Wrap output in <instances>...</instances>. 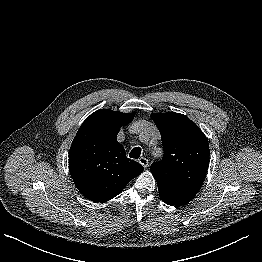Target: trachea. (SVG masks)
I'll use <instances>...</instances> for the list:
<instances>
[{
    "mask_svg": "<svg viewBox=\"0 0 262 262\" xmlns=\"http://www.w3.org/2000/svg\"><path fill=\"white\" fill-rule=\"evenodd\" d=\"M141 155V148L140 147H135L131 150L129 157L130 158H134V159H138Z\"/></svg>",
    "mask_w": 262,
    "mask_h": 262,
    "instance_id": "obj_1",
    "label": "trachea"
}]
</instances>
